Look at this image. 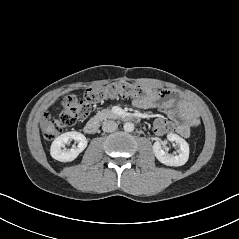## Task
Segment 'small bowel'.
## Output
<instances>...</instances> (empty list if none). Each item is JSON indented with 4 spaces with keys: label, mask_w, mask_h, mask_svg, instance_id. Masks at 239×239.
<instances>
[{
    "label": "small bowel",
    "mask_w": 239,
    "mask_h": 239,
    "mask_svg": "<svg viewBox=\"0 0 239 239\" xmlns=\"http://www.w3.org/2000/svg\"><path fill=\"white\" fill-rule=\"evenodd\" d=\"M149 96L134 98L133 105L141 109H161L169 117L170 133L188 137L191 128L199 124L197 110L171 90L147 89Z\"/></svg>",
    "instance_id": "small-bowel-1"
}]
</instances>
